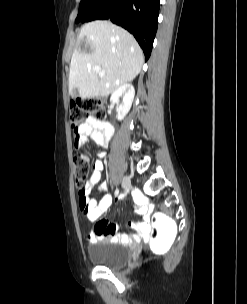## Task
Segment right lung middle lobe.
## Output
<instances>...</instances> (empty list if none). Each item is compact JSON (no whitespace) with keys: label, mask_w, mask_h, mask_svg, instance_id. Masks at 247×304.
<instances>
[{"label":"right lung middle lobe","mask_w":247,"mask_h":304,"mask_svg":"<svg viewBox=\"0 0 247 304\" xmlns=\"http://www.w3.org/2000/svg\"><path fill=\"white\" fill-rule=\"evenodd\" d=\"M104 0H81L75 23L81 22L91 15Z\"/></svg>","instance_id":"dd1d6c3e"}]
</instances>
